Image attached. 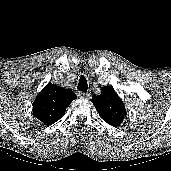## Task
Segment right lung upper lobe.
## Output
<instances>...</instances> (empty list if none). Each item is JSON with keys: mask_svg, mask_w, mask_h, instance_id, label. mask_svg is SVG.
I'll return each mask as SVG.
<instances>
[{"mask_svg": "<svg viewBox=\"0 0 171 171\" xmlns=\"http://www.w3.org/2000/svg\"><path fill=\"white\" fill-rule=\"evenodd\" d=\"M76 98L72 90L49 83L37 95L33 114L45 125H52L63 117L66 108Z\"/></svg>", "mask_w": 171, "mask_h": 171, "instance_id": "right-lung-upper-lobe-1", "label": "right lung upper lobe"}]
</instances>
